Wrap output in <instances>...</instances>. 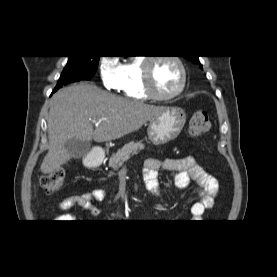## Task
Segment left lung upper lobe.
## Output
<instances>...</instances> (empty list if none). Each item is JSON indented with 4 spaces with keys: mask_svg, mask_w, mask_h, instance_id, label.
Instances as JSON below:
<instances>
[{
    "mask_svg": "<svg viewBox=\"0 0 277 277\" xmlns=\"http://www.w3.org/2000/svg\"><path fill=\"white\" fill-rule=\"evenodd\" d=\"M190 61L199 64L200 67H202L201 63L199 62L198 56H192V57H187Z\"/></svg>",
    "mask_w": 277,
    "mask_h": 277,
    "instance_id": "obj_1",
    "label": "left lung upper lobe"
}]
</instances>
